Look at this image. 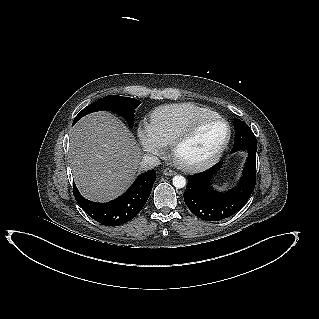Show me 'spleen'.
I'll use <instances>...</instances> for the list:
<instances>
[{"label": "spleen", "instance_id": "obj_1", "mask_svg": "<svg viewBox=\"0 0 319 319\" xmlns=\"http://www.w3.org/2000/svg\"><path fill=\"white\" fill-rule=\"evenodd\" d=\"M228 185H229V182H226V183H224L223 187H222V188H220V189L225 190V189L227 188V186H228Z\"/></svg>", "mask_w": 319, "mask_h": 319}]
</instances>
